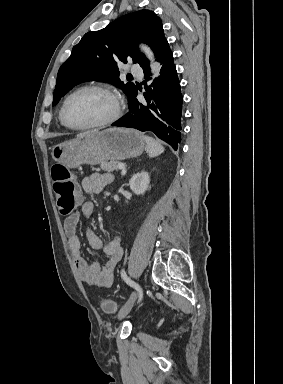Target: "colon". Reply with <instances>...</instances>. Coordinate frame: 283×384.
<instances>
[{
    "instance_id": "5ec220e1",
    "label": "colon",
    "mask_w": 283,
    "mask_h": 384,
    "mask_svg": "<svg viewBox=\"0 0 283 384\" xmlns=\"http://www.w3.org/2000/svg\"><path fill=\"white\" fill-rule=\"evenodd\" d=\"M53 188L57 196L58 210L63 215L71 214L78 205L77 187L71 173L62 165L55 164L51 169ZM101 308L105 313L115 311V303L110 299L101 301Z\"/></svg>"
}]
</instances>
